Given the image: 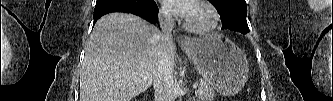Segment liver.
<instances>
[{
  "label": "liver",
  "instance_id": "6515ba94",
  "mask_svg": "<svg viewBox=\"0 0 333 101\" xmlns=\"http://www.w3.org/2000/svg\"><path fill=\"white\" fill-rule=\"evenodd\" d=\"M161 33L131 14L95 24L80 70V101H131L154 81ZM176 49L173 44V58Z\"/></svg>",
  "mask_w": 333,
  "mask_h": 101
}]
</instances>
